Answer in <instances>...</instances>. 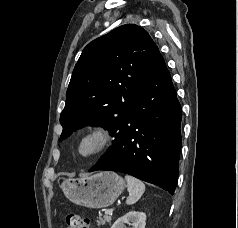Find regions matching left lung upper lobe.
<instances>
[{
  "instance_id": "5c2ea615",
  "label": "left lung upper lobe",
  "mask_w": 238,
  "mask_h": 228,
  "mask_svg": "<svg viewBox=\"0 0 238 228\" xmlns=\"http://www.w3.org/2000/svg\"><path fill=\"white\" fill-rule=\"evenodd\" d=\"M158 53L148 32L134 24L120 26L90 42L75 65L67 89L60 139L77 128L101 125L115 140L98 162L111 157L121 124Z\"/></svg>"
}]
</instances>
